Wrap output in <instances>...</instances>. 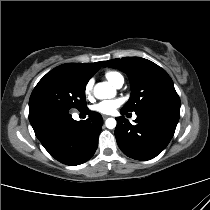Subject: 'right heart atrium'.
<instances>
[{
    "instance_id": "1",
    "label": "right heart atrium",
    "mask_w": 210,
    "mask_h": 210,
    "mask_svg": "<svg viewBox=\"0 0 210 210\" xmlns=\"http://www.w3.org/2000/svg\"><path fill=\"white\" fill-rule=\"evenodd\" d=\"M93 85H94L93 80H89L85 84V87H84V95L88 99H90L92 97V94H93Z\"/></svg>"
}]
</instances>
